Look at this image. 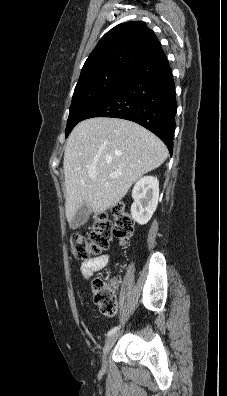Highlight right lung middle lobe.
Here are the masks:
<instances>
[{
  "mask_svg": "<svg viewBox=\"0 0 227 396\" xmlns=\"http://www.w3.org/2000/svg\"><path fill=\"white\" fill-rule=\"evenodd\" d=\"M132 70L110 68L87 75L78 81L69 111L66 137L85 114L116 88Z\"/></svg>",
  "mask_w": 227,
  "mask_h": 396,
  "instance_id": "1",
  "label": "right lung middle lobe"
}]
</instances>
